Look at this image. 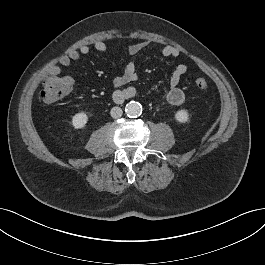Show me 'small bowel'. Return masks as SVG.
Masks as SVG:
<instances>
[{
    "label": "small bowel",
    "instance_id": "c3829d8e",
    "mask_svg": "<svg viewBox=\"0 0 265 265\" xmlns=\"http://www.w3.org/2000/svg\"><path fill=\"white\" fill-rule=\"evenodd\" d=\"M148 45L149 42L147 41L134 43L129 46L128 55L135 56ZM92 47L99 52L108 51V45L102 40L95 41ZM90 52L91 47L89 45H81L77 49L70 50L68 54L60 58L58 64L51 66L49 70L50 74L59 75L62 71V68L69 67L74 61H78L82 56L88 55ZM161 53L164 57H176L180 54L179 50L172 45L164 46L162 48ZM188 70L189 66L187 64L182 63L176 66L170 76L169 87L164 94V99L166 100V102L173 106H179L185 100V94L183 90L179 87V83L182 76L186 74ZM137 78V66L133 61H130L126 64L123 73L114 78L113 84L115 87H122L130 82L136 81ZM135 94L136 89L134 87L129 86L122 90H117L114 93V98L117 101H121L123 99L133 97Z\"/></svg>",
    "mask_w": 265,
    "mask_h": 265
}]
</instances>
